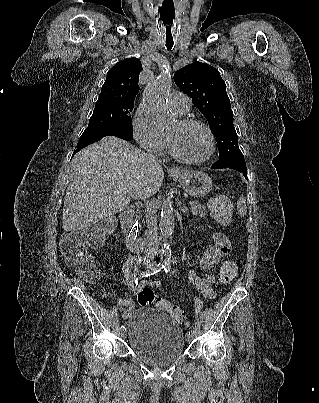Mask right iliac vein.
Here are the masks:
<instances>
[{
	"instance_id": "obj_1",
	"label": "right iliac vein",
	"mask_w": 319,
	"mask_h": 403,
	"mask_svg": "<svg viewBox=\"0 0 319 403\" xmlns=\"http://www.w3.org/2000/svg\"><path fill=\"white\" fill-rule=\"evenodd\" d=\"M146 267L148 268L149 266L146 265ZM121 336H122L123 338L126 337V329H124V330L121 331Z\"/></svg>"
}]
</instances>
